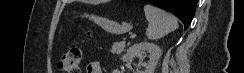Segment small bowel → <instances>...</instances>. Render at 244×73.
Returning <instances> with one entry per match:
<instances>
[{
	"mask_svg": "<svg viewBox=\"0 0 244 73\" xmlns=\"http://www.w3.org/2000/svg\"><path fill=\"white\" fill-rule=\"evenodd\" d=\"M86 72L87 73H102L99 62H97V61L90 62L87 65Z\"/></svg>",
	"mask_w": 244,
	"mask_h": 73,
	"instance_id": "obj_1",
	"label": "small bowel"
}]
</instances>
